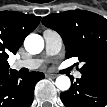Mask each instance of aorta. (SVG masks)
Returning a JSON list of instances; mask_svg holds the SVG:
<instances>
[{"label": "aorta", "mask_w": 107, "mask_h": 107, "mask_svg": "<svg viewBox=\"0 0 107 107\" xmlns=\"http://www.w3.org/2000/svg\"><path fill=\"white\" fill-rule=\"evenodd\" d=\"M24 47L30 54H39L44 48V40L38 34H29L24 41ZM56 87L61 91H67L71 86L70 78L60 75L55 81Z\"/></svg>", "instance_id": "obj_1"}]
</instances>
